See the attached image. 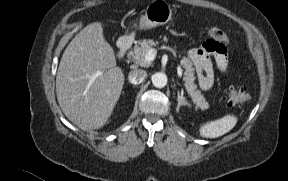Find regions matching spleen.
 Returning <instances> with one entry per match:
<instances>
[{
  "label": "spleen",
  "instance_id": "3e777b00",
  "mask_svg": "<svg viewBox=\"0 0 288 181\" xmlns=\"http://www.w3.org/2000/svg\"><path fill=\"white\" fill-rule=\"evenodd\" d=\"M237 123L234 115H226L221 119L208 122L200 127V135L205 138H217L229 132Z\"/></svg>",
  "mask_w": 288,
  "mask_h": 181
}]
</instances>
